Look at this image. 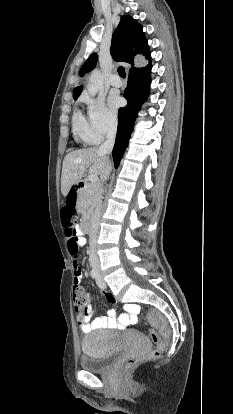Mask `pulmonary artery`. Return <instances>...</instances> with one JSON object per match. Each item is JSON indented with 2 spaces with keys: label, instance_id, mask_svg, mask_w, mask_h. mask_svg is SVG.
<instances>
[{
  "label": "pulmonary artery",
  "instance_id": "obj_1",
  "mask_svg": "<svg viewBox=\"0 0 233 414\" xmlns=\"http://www.w3.org/2000/svg\"><path fill=\"white\" fill-rule=\"evenodd\" d=\"M110 84L114 87H120L122 86L123 82L118 74H114L110 80Z\"/></svg>",
  "mask_w": 233,
  "mask_h": 414
}]
</instances>
